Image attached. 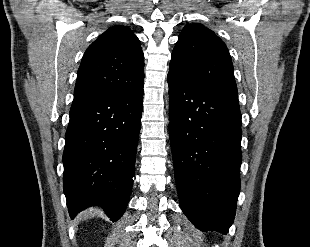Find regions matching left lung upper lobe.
Listing matches in <instances>:
<instances>
[{
  "label": "left lung upper lobe",
  "instance_id": "5c2ea615",
  "mask_svg": "<svg viewBox=\"0 0 310 247\" xmlns=\"http://www.w3.org/2000/svg\"><path fill=\"white\" fill-rule=\"evenodd\" d=\"M233 72L229 51L212 30L200 24L183 28L172 52L170 74L237 96Z\"/></svg>",
  "mask_w": 310,
  "mask_h": 247
}]
</instances>
